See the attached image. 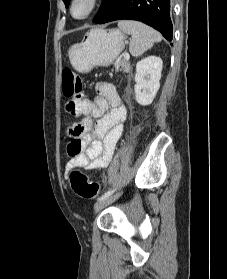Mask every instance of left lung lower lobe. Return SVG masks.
<instances>
[{
  "label": "left lung lower lobe",
  "mask_w": 227,
  "mask_h": 279,
  "mask_svg": "<svg viewBox=\"0 0 227 279\" xmlns=\"http://www.w3.org/2000/svg\"><path fill=\"white\" fill-rule=\"evenodd\" d=\"M121 19L141 21L172 40L170 0H103L93 22L104 24Z\"/></svg>",
  "instance_id": "0a47b994"
}]
</instances>
